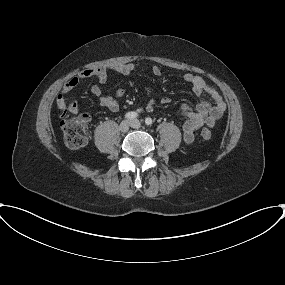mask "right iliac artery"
I'll use <instances>...</instances> for the list:
<instances>
[{
    "label": "right iliac artery",
    "instance_id": "82829eb1",
    "mask_svg": "<svg viewBox=\"0 0 285 285\" xmlns=\"http://www.w3.org/2000/svg\"><path fill=\"white\" fill-rule=\"evenodd\" d=\"M137 117V113L135 112H128L125 114V118L127 119H135Z\"/></svg>",
    "mask_w": 285,
    "mask_h": 285
}]
</instances>
